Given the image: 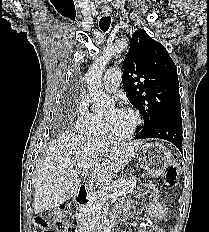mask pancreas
Instances as JSON below:
<instances>
[{"mask_svg":"<svg viewBox=\"0 0 209 232\" xmlns=\"http://www.w3.org/2000/svg\"><path fill=\"white\" fill-rule=\"evenodd\" d=\"M136 186V177L130 176L129 178L118 179L110 183L109 185L103 187L101 190L107 192L110 190L114 191H122L124 195L129 194L133 191ZM101 202L97 193H92L90 197V201L88 204L82 206L78 209V213H76V219L86 228L90 229V231H95L96 227H98L99 223L96 220V206Z\"/></svg>","mask_w":209,"mask_h":232,"instance_id":"cf45deb5","label":"pancreas"}]
</instances>
